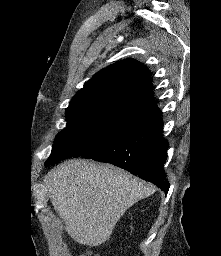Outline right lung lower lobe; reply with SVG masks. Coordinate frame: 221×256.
<instances>
[{"mask_svg":"<svg viewBox=\"0 0 221 256\" xmlns=\"http://www.w3.org/2000/svg\"><path fill=\"white\" fill-rule=\"evenodd\" d=\"M162 129V118L157 116L107 139L82 157L121 167L166 193L169 182L163 167L168 142L161 135Z\"/></svg>","mask_w":221,"mask_h":256,"instance_id":"1","label":"right lung lower lobe"}]
</instances>
